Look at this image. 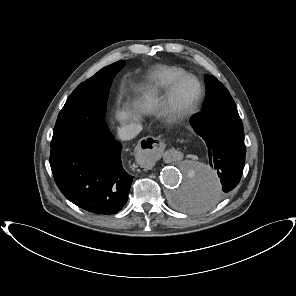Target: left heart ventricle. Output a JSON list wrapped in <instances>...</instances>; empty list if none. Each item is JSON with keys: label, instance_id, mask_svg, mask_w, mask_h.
Wrapping results in <instances>:
<instances>
[{"label": "left heart ventricle", "instance_id": "left-heart-ventricle-1", "mask_svg": "<svg viewBox=\"0 0 296 296\" xmlns=\"http://www.w3.org/2000/svg\"><path fill=\"white\" fill-rule=\"evenodd\" d=\"M197 91L198 88L195 81L188 79L178 87L176 92V98L179 103H187L196 96Z\"/></svg>", "mask_w": 296, "mask_h": 296}]
</instances>
